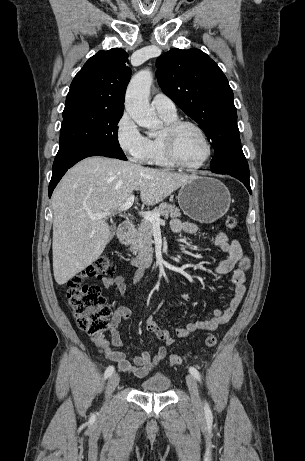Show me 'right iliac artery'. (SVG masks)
Here are the masks:
<instances>
[{
	"mask_svg": "<svg viewBox=\"0 0 305 461\" xmlns=\"http://www.w3.org/2000/svg\"><path fill=\"white\" fill-rule=\"evenodd\" d=\"M113 372H114V366L110 365L105 371L104 378L107 379L108 377L112 375Z\"/></svg>",
	"mask_w": 305,
	"mask_h": 461,
	"instance_id": "obj_1",
	"label": "right iliac artery"
}]
</instances>
